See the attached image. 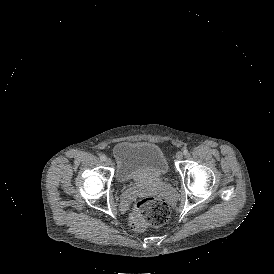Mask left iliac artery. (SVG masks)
I'll return each mask as SVG.
<instances>
[{
	"label": "left iliac artery",
	"instance_id": "obj_1",
	"mask_svg": "<svg viewBox=\"0 0 274 274\" xmlns=\"http://www.w3.org/2000/svg\"><path fill=\"white\" fill-rule=\"evenodd\" d=\"M183 154H188V150L185 148V149H183Z\"/></svg>",
	"mask_w": 274,
	"mask_h": 274
}]
</instances>
